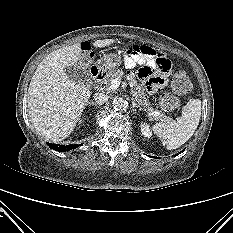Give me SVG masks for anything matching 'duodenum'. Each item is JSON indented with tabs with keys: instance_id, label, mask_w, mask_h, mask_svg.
I'll return each mask as SVG.
<instances>
[{
	"instance_id": "1",
	"label": "duodenum",
	"mask_w": 233,
	"mask_h": 233,
	"mask_svg": "<svg viewBox=\"0 0 233 233\" xmlns=\"http://www.w3.org/2000/svg\"><path fill=\"white\" fill-rule=\"evenodd\" d=\"M91 75H92L94 80L99 81L103 78L104 73L101 69H99L97 67H92L91 68Z\"/></svg>"
}]
</instances>
